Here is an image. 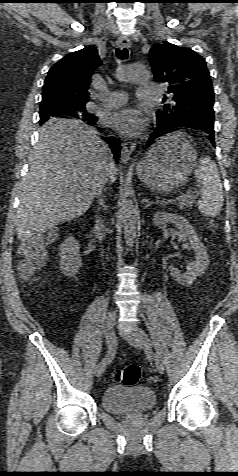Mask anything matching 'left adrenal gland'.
Wrapping results in <instances>:
<instances>
[{"label":"left adrenal gland","instance_id":"obj_1","mask_svg":"<svg viewBox=\"0 0 238 476\" xmlns=\"http://www.w3.org/2000/svg\"><path fill=\"white\" fill-rule=\"evenodd\" d=\"M144 203V208L146 209L147 207H149L150 205L152 204H158V202H154V201H149L147 198H143V201Z\"/></svg>","mask_w":238,"mask_h":476}]
</instances>
